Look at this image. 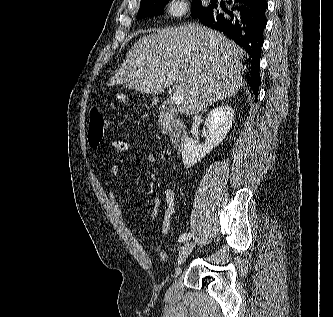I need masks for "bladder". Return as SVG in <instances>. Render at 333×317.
<instances>
[{
    "instance_id": "obj_1",
    "label": "bladder",
    "mask_w": 333,
    "mask_h": 317,
    "mask_svg": "<svg viewBox=\"0 0 333 317\" xmlns=\"http://www.w3.org/2000/svg\"><path fill=\"white\" fill-rule=\"evenodd\" d=\"M160 261L164 264L167 261V254L163 251L159 252Z\"/></svg>"
}]
</instances>
